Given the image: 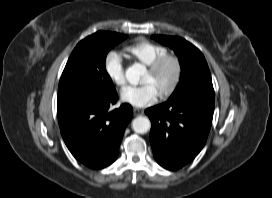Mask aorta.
<instances>
[{"mask_svg":"<svg viewBox=\"0 0 272 198\" xmlns=\"http://www.w3.org/2000/svg\"><path fill=\"white\" fill-rule=\"evenodd\" d=\"M146 73V67L135 63L125 71V77L130 84L137 85L141 77ZM151 122L147 117L139 116L132 121V129L139 134L147 133L150 130Z\"/></svg>","mask_w":272,"mask_h":198,"instance_id":"1","label":"aorta"}]
</instances>
